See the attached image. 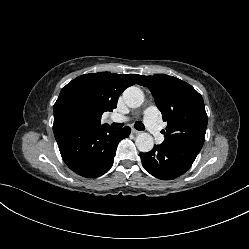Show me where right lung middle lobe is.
Masks as SVG:
<instances>
[{"instance_id": "dd1d6c3e", "label": "right lung middle lobe", "mask_w": 249, "mask_h": 249, "mask_svg": "<svg viewBox=\"0 0 249 249\" xmlns=\"http://www.w3.org/2000/svg\"><path fill=\"white\" fill-rule=\"evenodd\" d=\"M77 112L74 109H69L66 112V118L69 121H73L76 118Z\"/></svg>"}]
</instances>
